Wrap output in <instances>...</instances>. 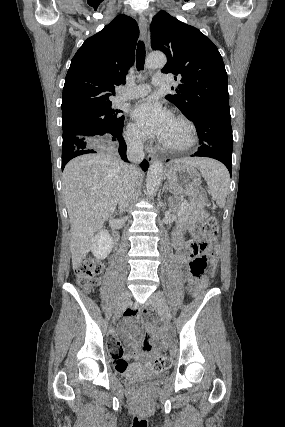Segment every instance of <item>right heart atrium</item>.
<instances>
[{
	"label": "right heart atrium",
	"mask_w": 285,
	"mask_h": 427,
	"mask_svg": "<svg viewBox=\"0 0 285 427\" xmlns=\"http://www.w3.org/2000/svg\"><path fill=\"white\" fill-rule=\"evenodd\" d=\"M126 137L128 141L135 146H141L146 141L145 133L134 123L128 124Z\"/></svg>",
	"instance_id": "1"
}]
</instances>
